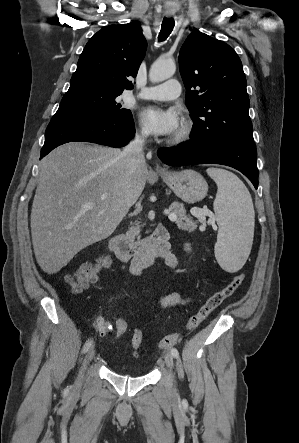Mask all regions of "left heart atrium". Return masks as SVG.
Here are the masks:
<instances>
[{"label":"left heart atrium","mask_w":299,"mask_h":443,"mask_svg":"<svg viewBox=\"0 0 299 443\" xmlns=\"http://www.w3.org/2000/svg\"><path fill=\"white\" fill-rule=\"evenodd\" d=\"M139 119L142 125L157 136H171L180 127V118L173 108L149 106L141 110Z\"/></svg>","instance_id":"obj_1"}]
</instances>
